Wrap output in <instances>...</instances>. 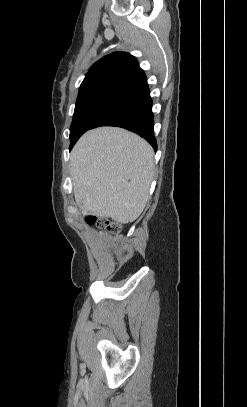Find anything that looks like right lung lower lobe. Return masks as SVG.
Segmentation results:
<instances>
[{
  "label": "right lung lower lobe",
  "instance_id": "obj_1",
  "mask_svg": "<svg viewBox=\"0 0 247 407\" xmlns=\"http://www.w3.org/2000/svg\"><path fill=\"white\" fill-rule=\"evenodd\" d=\"M151 108L152 99L150 90L147 87L103 116L92 128L100 126L125 128L143 137L156 151L157 141L154 136V121Z\"/></svg>",
  "mask_w": 247,
  "mask_h": 407
}]
</instances>
